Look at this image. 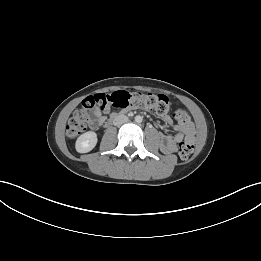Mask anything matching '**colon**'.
Listing matches in <instances>:
<instances>
[{
  "mask_svg": "<svg viewBox=\"0 0 261 261\" xmlns=\"http://www.w3.org/2000/svg\"><path fill=\"white\" fill-rule=\"evenodd\" d=\"M110 107L120 109L145 108L162 115L170 108V100L161 94L144 93L141 91H116L110 94H97L87 97L81 106L70 117L66 126V135L75 139L87 130L90 118L96 112H103ZM173 119L181 124H187L190 120L187 109L177 106L172 112ZM194 152L192 141L186 140L179 145V155L182 159H189Z\"/></svg>",
  "mask_w": 261,
  "mask_h": 261,
  "instance_id": "1",
  "label": "colon"
}]
</instances>
